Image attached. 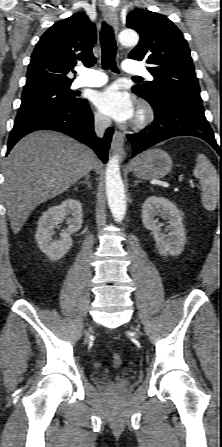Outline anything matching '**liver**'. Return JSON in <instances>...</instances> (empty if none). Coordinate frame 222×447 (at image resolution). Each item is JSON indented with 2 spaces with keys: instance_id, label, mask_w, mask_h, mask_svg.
Masks as SVG:
<instances>
[{
  "instance_id": "obj_1",
  "label": "liver",
  "mask_w": 222,
  "mask_h": 447,
  "mask_svg": "<svg viewBox=\"0 0 222 447\" xmlns=\"http://www.w3.org/2000/svg\"><path fill=\"white\" fill-rule=\"evenodd\" d=\"M100 168L90 148L61 133L37 131L22 138L4 163L3 192L13 233L39 204Z\"/></svg>"
}]
</instances>
